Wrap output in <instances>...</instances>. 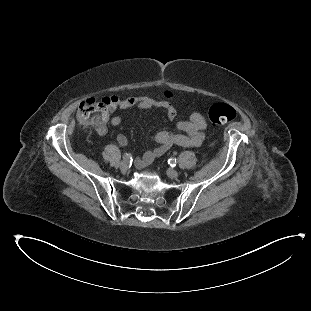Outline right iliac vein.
Segmentation results:
<instances>
[{"instance_id": "obj_1", "label": "right iliac vein", "mask_w": 311, "mask_h": 311, "mask_svg": "<svg viewBox=\"0 0 311 311\" xmlns=\"http://www.w3.org/2000/svg\"><path fill=\"white\" fill-rule=\"evenodd\" d=\"M120 169H121V171L126 172V171L128 170V164H127V162L122 161V162L120 163Z\"/></svg>"}]
</instances>
